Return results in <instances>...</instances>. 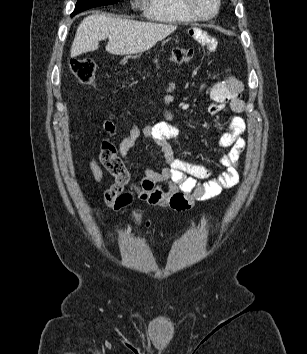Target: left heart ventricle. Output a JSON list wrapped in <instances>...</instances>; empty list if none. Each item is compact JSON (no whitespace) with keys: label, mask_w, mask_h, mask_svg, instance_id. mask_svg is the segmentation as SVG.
Masks as SVG:
<instances>
[{"label":"left heart ventricle","mask_w":307,"mask_h":354,"mask_svg":"<svg viewBox=\"0 0 307 354\" xmlns=\"http://www.w3.org/2000/svg\"><path fill=\"white\" fill-rule=\"evenodd\" d=\"M197 11L203 15L210 14L215 7V0H194Z\"/></svg>","instance_id":"1"}]
</instances>
